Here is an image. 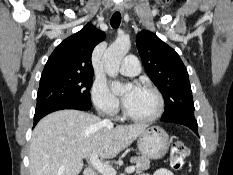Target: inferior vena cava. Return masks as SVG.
Here are the masks:
<instances>
[{
    "mask_svg": "<svg viewBox=\"0 0 233 175\" xmlns=\"http://www.w3.org/2000/svg\"><path fill=\"white\" fill-rule=\"evenodd\" d=\"M103 122L107 123V124L111 123L110 120H108V119H104Z\"/></svg>",
    "mask_w": 233,
    "mask_h": 175,
    "instance_id": "inferior-vena-cava-1",
    "label": "inferior vena cava"
}]
</instances>
